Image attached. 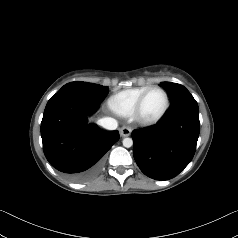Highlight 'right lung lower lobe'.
I'll return each instance as SVG.
<instances>
[{
  "instance_id": "right-lung-lower-lobe-1",
  "label": "right lung lower lobe",
  "mask_w": 238,
  "mask_h": 238,
  "mask_svg": "<svg viewBox=\"0 0 238 238\" xmlns=\"http://www.w3.org/2000/svg\"><path fill=\"white\" fill-rule=\"evenodd\" d=\"M101 101L77 91L57 92L47 103L41 122L44 154L49 163L74 182L96 176L104 154L119 140L118 131L88 123Z\"/></svg>"
}]
</instances>
